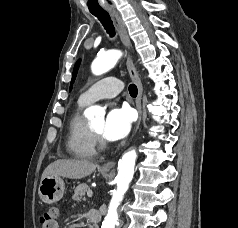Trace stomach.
Returning <instances> with one entry per match:
<instances>
[{
  "mask_svg": "<svg viewBox=\"0 0 238 228\" xmlns=\"http://www.w3.org/2000/svg\"><path fill=\"white\" fill-rule=\"evenodd\" d=\"M101 173L107 175L108 171L101 170ZM64 190V181L60 176H47L41 180L38 194L43 202L51 204L63 197Z\"/></svg>",
  "mask_w": 238,
  "mask_h": 228,
  "instance_id": "stomach-1",
  "label": "stomach"
}]
</instances>
